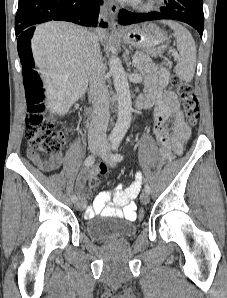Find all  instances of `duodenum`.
<instances>
[{"label": "duodenum", "mask_w": 227, "mask_h": 298, "mask_svg": "<svg viewBox=\"0 0 227 298\" xmlns=\"http://www.w3.org/2000/svg\"><path fill=\"white\" fill-rule=\"evenodd\" d=\"M136 107L138 109H142V108L145 107V104H144V102L142 101V99L140 97H138L137 100H136Z\"/></svg>", "instance_id": "1"}]
</instances>
